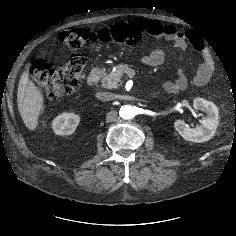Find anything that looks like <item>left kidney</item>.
<instances>
[{"mask_svg": "<svg viewBox=\"0 0 236 236\" xmlns=\"http://www.w3.org/2000/svg\"><path fill=\"white\" fill-rule=\"evenodd\" d=\"M193 107L196 110H201L206 113L200 121V125L190 127L183 120H176L174 127L176 131L187 141L202 143L210 140L216 132L219 123V110L217 106L203 98H195L193 100Z\"/></svg>", "mask_w": 236, "mask_h": 236, "instance_id": "obj_1", "label": "left kidney"}]
</instances>
